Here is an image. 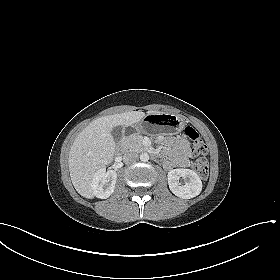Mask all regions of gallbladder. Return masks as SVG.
Segmentation results:
<instances>
[{"label":"gallbladder","mask_w":280,"mask_h":280,"mask_svg":"<svg viewBox=\"0 0 280 280\" xmlns=\"http://www.w3.org/2000/svg\"><path fill=\"white\" fill-rule=\"evenodd\" d=\"M111 134H112L113 139L116 143L120 142V140L122 139V136H123V127L122 126H115L112 129Z\"/></svg>","instance_id":"1"}]
</instances>
